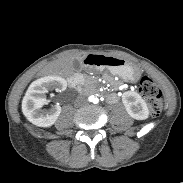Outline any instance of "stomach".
Returning <instances> with one entry per match:
<instances>
[{"mask_svg": "<svg viewBox=\"0 0 183 183\" xmlns=\"http://www.w3.org/2000/svg\"><path fill=\"white\" fill-rule=\"evenodd\" d=\"M100 69H108L112 74L119 75L128 80H137L140 76V69L133 66L125 59L102 54L100 56Z\"/></svg>", "mask_w": 183, "mask_h": 183, "instance_id": "0dacf381", "label": "stomach"}]
</instances>
